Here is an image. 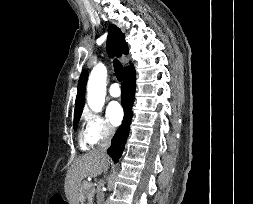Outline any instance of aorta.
Here are the masks:
<instances>
[{"label":"aorta","instance_id":"obj_1","mask_svg":"<svg viewBox=\"0 0 253 204\" xmlns=\"http://www.w3.org/2000/svg\"><path fill=\"white\" fill-rule=\"evenodd\" d=\"M107 69L104 65L95 66L88 79L87 102L90 109L100 112L105 102Z\"/></svg>","mask_w":253,"mask_h":204}]
</instances>
